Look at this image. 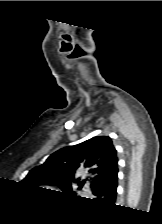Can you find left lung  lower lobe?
Wrapping results in <instances>:
<instances>
[{
	"label": "left lung lower lobe",
	"mask_w": 162,
	"mask_h": 224,
	"mask_svg": "<svg viewBox=\"0 0 162 224\" xmlns=\"http://www.w3.org/2000/svg\"><path fill=\"white\" fill-rule=\"evenodd\" d=\"M117 174L118 170L113 172L100 187L92 190L94 201L108 204L115 202L117 194Z\"/></svg>",
	"instance_id": "obj_1"
}]
</instances>
